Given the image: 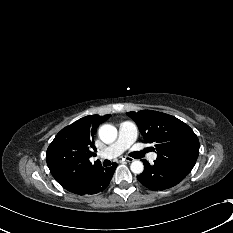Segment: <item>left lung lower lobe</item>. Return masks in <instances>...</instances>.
<instances>
[{
	"mask_svg": "<svg viewBox=\"0 0 233 233\" xmlns=\"http://www.w3.org/2000/svg\"><path fill=\"white\" fill-rule=\"evenodd\" d=\"M143 163L145 166L144 171L137 176V179L150 190L162 191L171 188L187 176L177 169L157 160L152 165L146 160H143Z\"/></svg>",
	"mask_w": 233,
	"mask_h": 233,
	"instance_id": "0a47b994",
	"label": "left lung lower lobe"
}]
</instances>
